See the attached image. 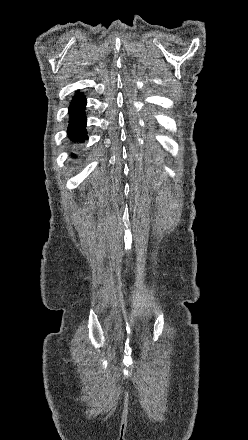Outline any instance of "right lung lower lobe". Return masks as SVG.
<instances>
[{
	"instance_id": "right-lung-lower-lobe-1",
	"label": "right lung lower lobe",
	"mask_w": 248,
	"mask_h": 440,
	"mask_svg": "<svg viewBox=\"0 0 248 440\" xmlns=\"http://www.w3.org/2000/svg\"><path fill=\"white\" fill-rule=\"evenodd\" d=\"M85 106L86 99L82 93L77 92L69 106L70 121L68 127V136L72 141L83 142L87 137L85 130Z\"/></svg>"
}]
</instances>
